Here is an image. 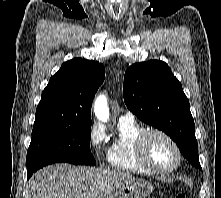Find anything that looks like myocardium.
I'll list each match as a JSON object with an SVG mask.
<instances>
[{"label": "myocardium", "instance_id": "f54148a6", "mask_svg": "<svg viewBox=\"0 0 221 198\" xmlns=\"http://www.w3.org/2000/svg\"><path fill=\"white\" fill-rule=\"evenodd\" d=\"M153 135H159L165 138L173 146L176 152V156H177L176 163L173 167L160 168L152 164L151 161L149 160L148 153H147V144H148L149 138ZM136 152H137V157H138L139 162L146 169H148L151 173H154V174L165 175V174L173 173L179 168L182 162V151H181L180 146L176 142V140L170 134L158 128L145 129L139 135L137 142H136Z\"/></svg>", "mask_w": 221, "mask_h": 198}]
</instances>
